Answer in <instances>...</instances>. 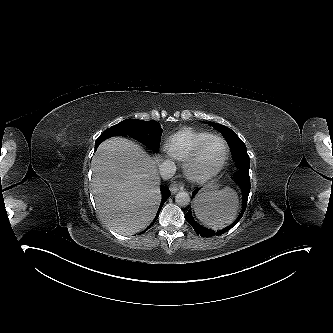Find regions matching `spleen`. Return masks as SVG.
Listing matches in <instances>:
<instances>
[{
	"label": "spleen",
	"mask_w": 333,
	"mask_h": 333,
	"mask_svg": "<svg viewBox=\"0 0 333 333\" xmlns=\"http://www.w3.org/2000/svg\"><path fill=\"white\" fill-rule=\"evenodd\" d=\"M238 203L236 192L226 187L209 194H199L195 200L194 211L203 224L220 229L236 217Z\"/></svg>",
	"instance_id": "1"
}]
</instances>
